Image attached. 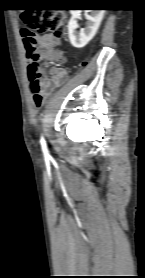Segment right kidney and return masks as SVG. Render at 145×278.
Instances as JSON below:
<instances>
[{
	"instance_id": "right-kidney-1",
	"label": "right kidney",
	"mask_w": 145,
	"mask_h": 278,
	"mask_svg": "<svg viewBox=\"0 0 145 278\" xmlns=\"http://www.w3.org/2000/svg\"><path fill=\"white\" fill-rule=\"evenodd\" d=\"M87 23L78 31V20L81 18V10H71V18L68 22V36L70 43L75 48H83L96 34L105 10H86Z\"/></svg>"
}]
</instances>
